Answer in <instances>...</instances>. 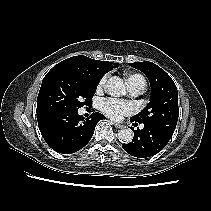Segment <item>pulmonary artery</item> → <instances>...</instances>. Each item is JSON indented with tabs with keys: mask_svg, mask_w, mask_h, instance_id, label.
Wrapping results in <instances>:
<instances>
[{
	"mask_svg": "<svg viewBox=\"0 0 211 211\" xmlns=\"http://www.w3.org/2000/svg\"><path fill=\"white\" fill-rule=\"evenodd\" d=\"M130 87V92L133 95H139L144 92L145 85L143 83L132 84Z\"/></svg>",
	"mask_w": 211,
	"mask_h": 211,
	"instance_id": "1",
	"label": "pulmonary artery"
}]
</instances>
